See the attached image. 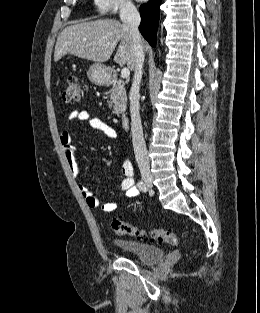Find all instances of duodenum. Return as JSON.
Listing matches in <instances>:
<instances>
[{"mask_svg":"<svg viewBox=\"0 0 260 313\" xmlns=\"http://www.w3.org/2000/svg\"><path fill=\"white\" fill-rule=\"evenodd\" d=\"M121 124L124 128H128L129 126V117L128 115H123L121 118Z\"/></svg>","mask_w":260,"mask_h":313,"instance_id":"duodenum-1","label":"duodenum"}]
</instances>
